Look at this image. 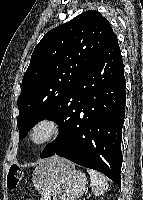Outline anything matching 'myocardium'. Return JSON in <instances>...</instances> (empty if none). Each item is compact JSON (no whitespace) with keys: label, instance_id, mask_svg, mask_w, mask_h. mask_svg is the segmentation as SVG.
I'll use <instances>...</instances> for the list:
<instances>
[{"label":"myocardium","instance_id":"1","mask_svg":"<svg viewBox=\"0 0 143 200\" xmlns=\"http://www.w3.org/2000/svg\"><path fill=\"white\" fill-rule=\"evenodd\" d=\"M61 129L60 122L54 117H42L38 119L28 132V141L35 147H42L52 142L59 134ZM43 135L37 138L38 132Z\"/></svg>","mask_w":143,"mask_h":200}]
</instances>
